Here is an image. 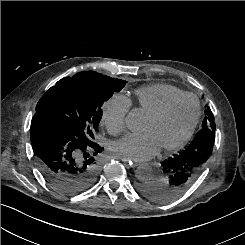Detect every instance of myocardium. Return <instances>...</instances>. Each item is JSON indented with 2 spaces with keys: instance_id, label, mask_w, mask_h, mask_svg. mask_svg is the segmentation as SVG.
I'll return each instance as SVG.
<instances>
[{
  "instance_id": "obj_1",
  "label": "myocardium",
  "mask_w": 245,
  "mask_h": 245,
  "mask_svg": "<svg viewBox=\"0 0 245 245\" xmlns=\"http://www.w3.org/2000/svg\"><path fill=\"white\" fill-rule=\"evenodd\" d=\"M186 98H192L195 100L196 102V114L195 117L191 123V125L189 126V128L187 129V131L185 132V134L182 136V138L180 140H178L176 143L171 144V145H167V146H163L162 150L163 151H175L178 150L180 148H182L191 138L198 122L200 119V115H201V104H200V100L198 99V97L194 94H190V93H186L174 98L169 99L168 101H166L164 104H162L158 109H156L155 111H153L152 113L147 115V118L150 120H156L161 118L163 115H165L167 113V111L177 102L186 99Z\"/></svg>"
}]
</instances>
